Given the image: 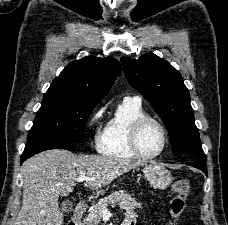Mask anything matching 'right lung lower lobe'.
<instances>
[{"label":"right lung lower lobe","instance_id":"1","mask_svg":"<svg viewBox=\"0 0 228 225\" xmlns=\"http://www.w3.org/2000/svg\"><path fill=\"white\" fill-rule=\"evenodd\" d=\"M57 148L69 149L73 151L75 150L73 142L69 140L58 138L39 139L33 142H28L26 144L24 152L21 156V164L23 161L39 152Z\"/></svg>","mask_w":228,"mask_h":225}]
</instances>
